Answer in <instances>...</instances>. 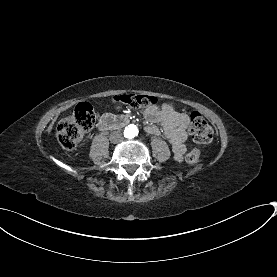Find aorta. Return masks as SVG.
Returning a JSON list of instances; mask_svg holds the SVG:
<instances>
[{
	"label": "aorta",
	"instance_id": "762f6f07",
	"mask_svg": "<svg viewBox=\"0 0 277 277\" xmlns=\"http://www.w3.org/2000/svg\"><path fill=\"white\" fill-rule=\"evenodd\" d=\"M138 127L134 124H130L125 128L124 134L127 138H134L138 135Z\"/></svg>",
	"mask_w": 277,
	"mask_h": 277
}]
</instances>
